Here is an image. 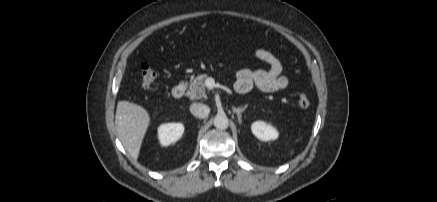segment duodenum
<instances>
[{
    "label": "duodenum",
    "mask_w": 437,
    "mask_h": 202,
    "mask_svg": "<svg viewBox=\"0 0 437 202\" xmlns=\"http://www.w3.org/2000/svg\"><path fill=\"white\" fill-rule=\"evenodd\" d=\"M185 91H186V86H185L184 83L176 84V85L172 88V96H173L174 98L179 99V98H181V97L184 96Z\"/></svg>",
    "instance_id": "1"
}]
</instances>
